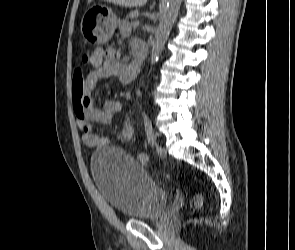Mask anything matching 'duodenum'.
Segmentation results:
<instances>
[{"instance_id":"1","label":"duodenum","mask_w":295,"mask_h":250,"mask_svg":"<svg viewBox=\"0 0 295 250\" xmlns=\"http://www.w3.org/2000/svg\"><path fill=\"white\" fill-rule=\"evenodd\" d=\"M146 58V49L143 46L135 47V59L137 63V68L140 70L141 65L144 63Z\"/></svg>"}]
</instances>
